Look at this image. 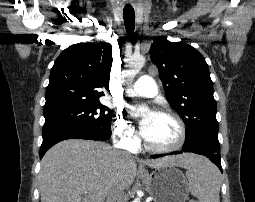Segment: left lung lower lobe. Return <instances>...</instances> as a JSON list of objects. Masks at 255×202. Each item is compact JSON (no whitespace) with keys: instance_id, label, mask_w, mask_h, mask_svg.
Listing matches in <instances>:
<instances>
[{"instance_id":"left-lung-lower-lobe-1","label":"left lung lower lobe","mask_w":255,"mask_h":202,"mask_svg":"<svg viewBox=\"0 0 255 202\" xmlns=\"http://www.w3.org/2000/svg\"><path fill=\"white\" fill-rule=\"evenodd\" d=\"M182 152H191V153L204 155L207 158H209V160H211L214 164H216L219 167V169L222 171L221 160H220V147L207 146V147L192 148V149L183 147V149L181 151H175V152H171L169 154L170 155L180 154ZM164 155H166V154H162L160 156H164ZM152 158H158V156L155 155V156H152Z\"/></svg>"}]
</instances>
